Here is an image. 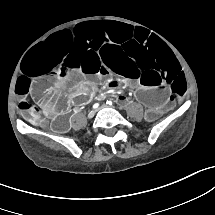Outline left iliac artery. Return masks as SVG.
Listing matches in <instances>:
<instances>
[{
  "label": "left iliac artery",
  "mask_w": 215,
  "mask_h": 215,
  "mask_svg": "<svg viewBox=\"0 0 215 215\" xmlns=\"http://www.w3.org/2000/svg\"><path fill=\"white\" fill-rule=\"evenodd\" d=\"M107 104H108V105H112V102H111V101H107Z\"/></svg>",
  "instance_id": "left-iliac-artery-1"
}]
</instances>
